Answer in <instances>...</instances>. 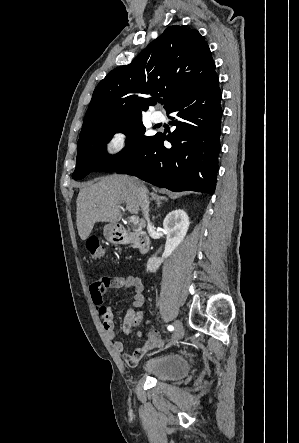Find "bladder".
Instances as JSON below:
<instances>
[{
  "label": "bladder",
  "instance_id": "obj_1",
  "mask_svg": "<svg viewBox=\"0 0 299 443\" xmlns=\"http://www.w3.org/2000/svg\"><path fill=\"white\" fill-rule=\"evenodd\" d=\"M188 359L181 354H165L149 359L143 365V373L160 381H176L189 372Z\"/></svg>",
  "mask_w": 299,
  "mask_h": 443
}]
</instances>
